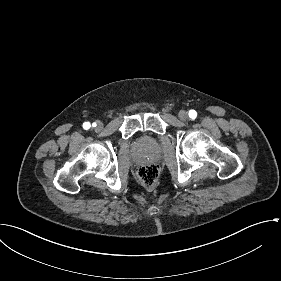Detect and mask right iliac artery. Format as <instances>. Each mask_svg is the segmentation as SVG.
<instances>
[{
	"label": "right iliac artery",
	"instance_id": "1",
	"mask_svg": "<svg viewBox=\"0 0 281 281\" xmlns=\"http://www.w3.org/2000/svg\"><path fill=\"white\" fill-rule=\"evenodd\" d=\"M94 126H96V124L94 123L93 124ZM83 127H84V129H89L90 127H91V125H90V123L89 122H85L84 124H83Z\"/></svg>",
	"mask_w": 281,
	"mask_h": 281
}]
</instances>
